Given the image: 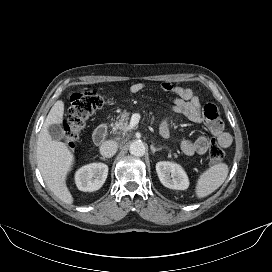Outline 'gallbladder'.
Wrapping results in <instances>:
<instances>
[{
    "label": "gallbladder",
    "mask_w": 272,
    "mask_h": 272,
    "mask_svg": "<svg viewBox=\"0 0 272 272\" xmlns=\"http://www.w3.org/2000/svg\"><path fill=\"white\" fill-rule=\"evenodd\" d=\"M48 131L53 140L59 141L65 137L64 130L58 124L50 125Z\"/></svg>",
    "instance_id": "obj_1"
}]
</instances>
